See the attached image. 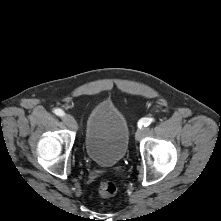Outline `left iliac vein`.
I'll return each mask as SVG.
<instances>
[{"instance_id": "1", "label": "left iliac vein", "mask_w": 221, "mask_h": 221, "mask_svg": "<svg viewBox=\"0 0 221 221\" xmlns=\"http://www.w3.org/2000/svg\"><path fill=\"white\" fill-rule=\"evenodd\" d=\"M146 132H147L146 128L144 127L139 128L135 135L136 140H140Z\"/></svg>"}]
</instances>
